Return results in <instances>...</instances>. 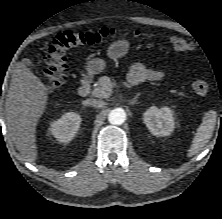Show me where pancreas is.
<instances>
[{
	"label": "pancreas",
	"instance_id": "obj_1",
	"mask_svg": "<svg viewBox=\"0 0 222 219\" xmlns=\"http://www.w3.org/2000/svg\"><path fill=\"white\" fill-rule=\"evenodd\" d=\"M113 82L108 76H102L98 80V84L92 90V95L98 98H108L112 92ZM179 95H183L179 93Z\"/></svg>",
	"mask_w": 222,
	"mask_h": 219
}]
</instances>
